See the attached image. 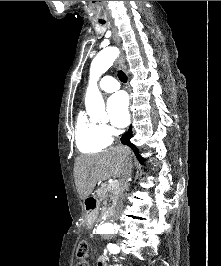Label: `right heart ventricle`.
I'll return each instance as SVG.
<instances>
[{"instance_id": "obj_1", "label": "right heart ventricle", "mask_w": 221, "mask_h": 266, "mask_svg": "<svg viewBox=\"0 0 221 266\" xmlns=\"http://www.w3.org/2000/svg\"><path fill=\"white\" fill-rule=\"evenodd\" d=\"M75 143L80 152L91 154L104 150L110 144V139L104 135L102 125L80 112L75 124Z\"/></svg>"}]
</instances>
